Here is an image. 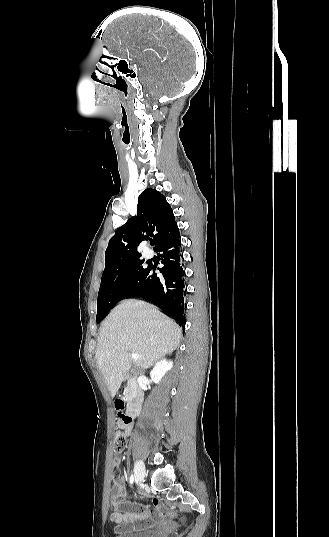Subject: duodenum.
Here are the masks:
<instances>
[{
  "label": "duodenum",
  "mask_w": 329,
  "mask_h": 537,
  "mask_svg": "<svg viewBox=\"0 0 329 537\" xmlns=\"http://www.w3.org/2000/svg\"><path fill=\"white\" fill-rule=\"evenodd\" d=\"M143 402V390L136 377L132 380V394L126 404L122 401H117V409L124 411L130 418L138 415Z\"/></svg>",
  "instance_id": "410a0bca"
}]
</instances>
